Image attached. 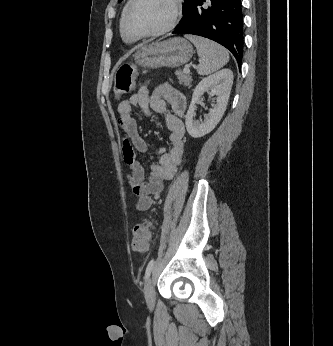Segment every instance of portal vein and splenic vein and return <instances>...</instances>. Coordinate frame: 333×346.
Wrapping results in <instances>:
<instances>
[{
  "label": "portal vein and splenic vein",
  "mask_w": 333,
  "mask_h": 346,
  "mask_svg": "<svg viewBox=\"0 0 333 346\" xmlns=\"http://www.w3.org/2000/svg\"><path fill=\"white\" fill-rule=\"evenodd\" d=\"M185 73H190V69L188 67L184 68L183 70Z\"/></svg>",
  "instance_id": "18ae733b"
}]
</instances>
